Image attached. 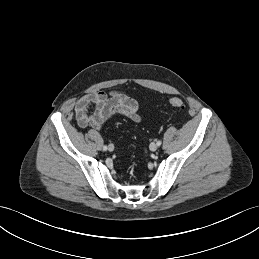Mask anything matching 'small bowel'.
Returning <instances> with one entry per match:
<instances>
[{"mask_svg": "<svg viewBox=\"0 0 259 259\" xmlns=\"http://www.w3.org/2000/svg\"><path fill=\"white\" fill-rule=\"evenodd\" d=\"M90 108H94L91 114L88 113ZM75 113L81 128L92 127L96 130H102L113 116H123L134 122L141 121L137 101L124 91L88 94L76 102Z\"/></svg>", "mask_w": 259, "mask_h": 259, "instance_id": "obj_1", "label": "small bowel"}]
</instances>
